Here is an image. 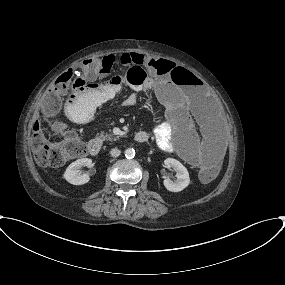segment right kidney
<instances>
[{
	"label": "right kidney",
	"instance_id": "obj_1",
	"mask_svg": "<svg viewBox=\"0 0 285 285\" xmlns=\"http://www.w3.org/2000/svg\"><path fill=\"white\" fill-rule=\"evenodd\" d=\"M92 165V160L89 158H81L71 163L65 173L64 178L66 181L73 185H83L89 182L90 176L88 173L79 174V168L82 166L90 167Z\"/></svg>",
	"mask_w": 285,
	"mask_h": 285
}]
</instances>
